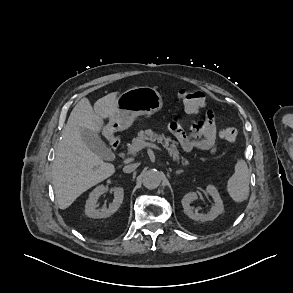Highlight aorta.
Masks as SVG:
<instances>
[{"label": "aorta", "instance_id": "762f6f07", "mask_svg": "<svg viewBox=\"0 0 293 293\" xmlns=\"http://www.w3.org/2000/svg\"><path fill=\"white\" fill-rule=\"evenodd\" d=\"M162 181V174L156 169H149L142 173V183L146 188H157Z\"/></svg>", "mask_w": 293, "mask_h": 293}]
</instances>
